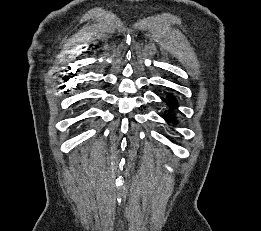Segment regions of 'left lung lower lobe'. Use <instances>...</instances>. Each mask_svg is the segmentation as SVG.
Segmentation results:
<instances>
[{
	"label": "left lung lower lobe",
	"instance_id": "0a47b994",
	"mask_svg": "<svg viewBox=\"0 0 261 231\" xmlns=\"http://www.w3.org/2000/svg\"><path fill=\"white\" fill-rule=\"evenodd\" d=\"M163 101L166 102V105L168 106V109L165 111V120L168 123H171L173 125H177L178 121L176 119V114L175 111L177 109V103H176V99L172 94H168L166 98H163Z\"/></svg>",
	"mask_w": 261,
	"mask_h": 231
}]
</instances>
